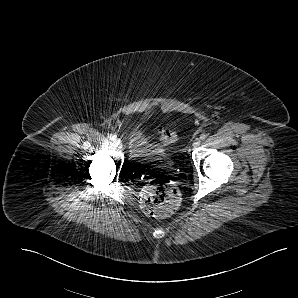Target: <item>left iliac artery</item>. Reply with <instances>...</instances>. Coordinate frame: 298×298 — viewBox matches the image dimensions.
I'll return each mask as SVG.
<instances>
[{"label":"left iliac artery","mask_w":298,"mask_h":298,"mask_svg":"<svg viewBox=\"0 0 298 298\" xmlns=\"http://www.w3.org/2000/svg\"><path fill=\"white\" fill-rule=\"evenodd\" d=\"M206 137H207V135H206V134H201V135H200V139H201V140H205V139H206Z\"/></svg>","instance_id":"obj_1"}]
</instances>
